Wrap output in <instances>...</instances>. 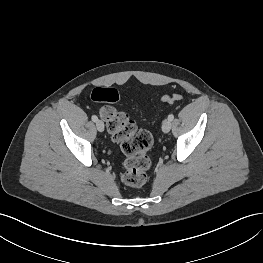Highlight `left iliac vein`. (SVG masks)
Returning a JSON list of instances; mask_svg holds the SVG:
<instances>
[{
  "instance_id": "1",
  "label": "left iliac vein",
  "mask_w": 263,
  "mask_h": 263,
  "mask_svg": "<svg viewBox=\"0 0 263 263\" xmlns=\"http://www.w3.org/2000/svg\"><path fill=\"white\" fill-rule=\"evenodd\" d=\"M171 129V121L170 120H164L162 123V130L165 133H168Z\"/></svg>"
}]
</instances>
